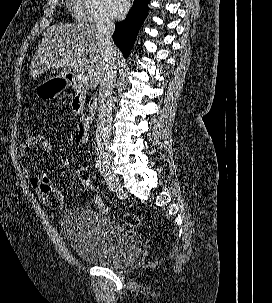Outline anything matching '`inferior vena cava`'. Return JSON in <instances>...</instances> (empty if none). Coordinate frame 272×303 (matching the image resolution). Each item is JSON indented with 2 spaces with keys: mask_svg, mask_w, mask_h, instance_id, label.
Listing matches in <instances>:
<instances>
[{
  "mask_svg": "<svg viewBox=\"0 0 272 303\" xmlns=\"http://www.w3.org/2000/svg\"><path fill=\"white\" fill-rule=\"evenodd\" d=\"M97 29L103 40L104 55L98 79L100 84V107L96 129V143L99 157L102 160H108L111 159L109 142L112 122V92L117 73L114 43L112 40L115 24L111 15H101L97 22Z\"/></svg>",
  "mask_w": 272,
  "mask_h": 303,
  "instance_id": "602c4592",
  "label": "inferior vena cava"
}]
</instances>
